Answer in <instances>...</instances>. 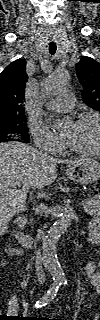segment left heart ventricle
<instances>
[{"instance_id": "1", "label": "left heart ventricle", "mask_w": 100, "mask_h": 320, "mask_svg": "<svg viewBox=\"0 0 100 320\" xmlns=\"http://www.w3.org/2000/svg\"><path fill=\"white\" fill-rule=\"evenodd\" d=\"M64 136L82 149H95L99 140V126L95 120L72 123L66 128Z\"/></svg>"}]
</instances>
